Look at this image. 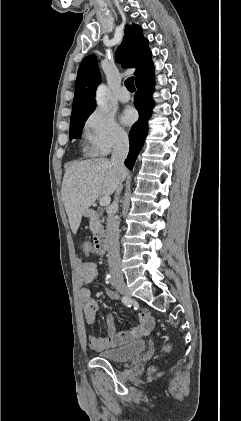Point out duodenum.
Returning <instances> with one entry per match:
<instances>
[{
    "label": "duodenum",
    "instance_id": "obj_1",
    "mask_svg": "<svg viewBox=\"0 0 241 421\" xmlns=\"http://www.w3.org/2000/svg\"><path fill=\"white\" fill-rule=\"evenodd\" d=\"M85 215L87 217H94L96 215V212L94 210H87ZM93 247L96 248V254L102 255L107 250V238L106 235L99 231L95 234L93 238Z\"/></svg>",
    "mask_w": 241,
    "mask_h": 421
}]
</instances>
